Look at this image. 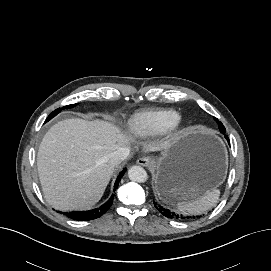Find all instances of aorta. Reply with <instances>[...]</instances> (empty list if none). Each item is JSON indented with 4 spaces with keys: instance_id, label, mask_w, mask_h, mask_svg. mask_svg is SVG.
Listing matches in <instances>:
<instances>
[{
    "instance_id": "762f6f07",
    "label": "aorta",
    "mask_w": 271,
    "mask_h": 271,
    "mask_svg": "<svg viewBox=\"0 0 271 271\" xmlns=\"http://www.w3.org/2000/svg\"><path fill=\"white\" fill-rule=\"evenodd\" d=\"M128 177L131 181L144 183L148 180L146 170L141 166H132L128 170Z\"/></svg>"
}]
</instances>
